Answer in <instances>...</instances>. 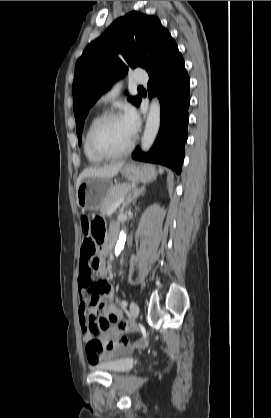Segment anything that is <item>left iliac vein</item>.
I'll return each instance as SVG.
<instances>
[{
  "instance_id": "4c4485c4",
  "label": "left iliac vein",
  "mask_w": 271,
  "mask_h": 418,
  "mask_svg": "<svg viewBox=\"0 0 271 418\" xmlns=\"http://www.w3.org/2000/svg\"><path fill=\"white\" fill-rule=\"evenodd\" d=\"M139 315V307L135 302H131L130 304V319L131 321H135Z\"/></svg>"
}]
</instances>
